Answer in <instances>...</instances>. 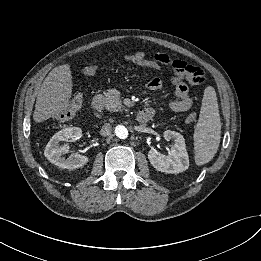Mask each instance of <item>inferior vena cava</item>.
<instances>
[{
	"label": "inferior vena cava",
	"mask_w": 261,
	"mask_h": 261,
	"mask_svg": "<svg viewBox=\"0 0 261 261\" xmlns=\"http://www.w3.org/2000/svg\"><path fill=\"white\" fill-rule=\"evenodd\" d=\"M112 133V127L109 123H105L102 128H101V131H100V134L102 136H109L111 135Z\"/></svg>",
	"instance_id": "602c4592"
}]
</instances>
